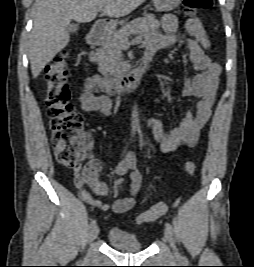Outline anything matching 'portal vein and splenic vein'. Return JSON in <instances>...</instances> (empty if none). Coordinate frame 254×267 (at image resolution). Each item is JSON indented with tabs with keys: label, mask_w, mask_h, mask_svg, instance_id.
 <instances>
[{
	"label": "portal vein and splenic vein",
	"mask_w": 254,
	"mask_h": 267,
	"mask_svg": "<svg viewBox=\"0 0 254 267\" xmlns=\"http://www.w3.org/2000/svg\"><path fill=\"white\" fill-rule=\"evenodd\" d=\"M102 10H103L102 7H98V8H97V11H98V12H101ZM141 41H142V37H141V36H138V37L134 38V39L132 40L131 43H129V42L124 43V44H123V47H124V48H128L131 44H138V43H140Z\"/></svg>",
	"instance_id": "1"
}]
</instances>
